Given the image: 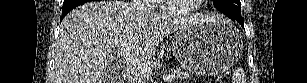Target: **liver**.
<instances>
[{
    "label": "liver",
    "instance_id": "6515ba94",
    "mask_svg": "<svg viewBox=\"0 0 307 83\" xmlns=\"http://www.w3.org/2000/svg\"><path fill=\"white\" fill-rule=\"evenodd\" d=\"M218 20L210 13L182 17L155 14L118 0L83 4L62 20L53 83H106L104 74L121 49L128 48L134 58L147 60L172 32ZM109 81L114 83L115 77H109Z\"/></svg>",
    "mask_w": 307,
    "mask_h": 83
}]
</instances>
